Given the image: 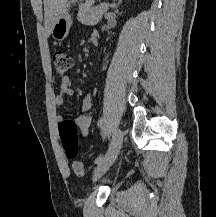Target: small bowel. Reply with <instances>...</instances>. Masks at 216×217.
<instances>
[{"label":"small bowel","mask_w":216,"mask_h":217,"mask_svg":"<svg viewBox=\"0 0 216 217\" xmlns=\"http://www.w3.org/2000/svg\"><path fill=\"white\" fill-rule=\"evenodd\" d=\"M73 90L71 88V80L68 76L62 78L61 86L58 94L54 98V103L56 106H62L64 99L67 96H71ZM93 95L91 93L87 94L82 101L81 114L76 118L75 124L82 136H87L91 126V116L90 109L92 106ZM55 120L59 126H61L64 118L61 115H56Z\"/></svg>","instance_id":"small-bowel-1"}]
</instances>
